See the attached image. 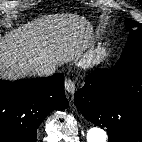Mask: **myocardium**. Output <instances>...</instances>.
Wrapping results in <instances>:
<instances>
[{"label":"myocardium","instance_id":"1","mask_svg":"<svg viewBox=\"0 0 142 142\" xmlns=\"http://www.w3.org/2000/svg\"><path fill=\"white\" fill-rule=\"evenodd\" d=\"M108 55V47L104 44H98L84 53L80 64L84 68H92L103 63Z\"/></svg>","mask_w":142,"mask_h":142}]
</instances>
